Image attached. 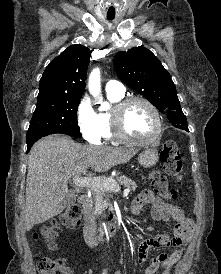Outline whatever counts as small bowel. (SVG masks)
<instances>
[{
  "instance_id": "c3829d8e",
  "label": "small bowel",
  "mask_w": 221,
  "mask_h": 274,
  "mask_svg": "<svg viewBox=\"0 0 221 274\" xmlns=\"http://www.w3.org/2000/svg\"><path fill=\"white\" fill-rule=\"evenodd\" d=\"M151 205L152 217L156 221L172 219L176 222L173 236L160 233L144 239L138 246L137 259L140 264H147L144 274H156L162 268L161 274H171L173 266L181 258L184 247L192 238L193 223L184 216L182 209L176 205L166 203L155 196L150 190H143L133 200L132 213L139 215L144 205ZM172 247L169 253L160 254L155 258L149 257L150 250ZM114 274H121L116 271Z\"/></svg>"
}]
</instances>
